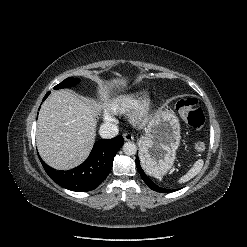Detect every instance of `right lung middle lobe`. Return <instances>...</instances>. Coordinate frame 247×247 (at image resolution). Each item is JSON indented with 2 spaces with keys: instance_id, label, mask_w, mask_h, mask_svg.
Here are the masks:
<instances>
[{
  "instance_id": "obj_1",
  "label": "right lung middle lobe",
  "mask_w": 247,
  "mask_h": 247,
  "mask_svg": "<svg viewBox=\"0 0 247 247\" xmlns=\"http://www.w3.org/2000/svg\"><path fill=\"white\" fill-rule=\"evenodd\" d=\"M80 80L76 78H67L66 80L62 81L60 84L56 85L54 89H61L66 87L74 86L75 84L79 83Z\"/></svg>"
}]
</instances>
